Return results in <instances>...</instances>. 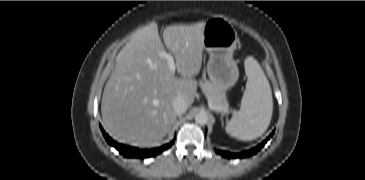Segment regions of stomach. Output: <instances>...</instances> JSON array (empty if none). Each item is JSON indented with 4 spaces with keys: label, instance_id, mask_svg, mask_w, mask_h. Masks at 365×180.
Returning a JSON list of instances; mask_svg holds the SVG:
<instances>
[{
    "label": "stomach",
    "instance_id": "0dacf381",
    "mask_svg": "<svg viewBox=\"0 0 365 180\" xmlns=\"http://www.w3.org/2000/svg\"><path fill=\"white\" fill-rule=\"evenodd\" d=\"M237 43V32L226 19L213 17L205 22L203 46L209 54L207 74L210 81L224 93L239 77L237 63L233 59Z\"/></svg>",
    "mask_w": 365,
    "mask_h": 180
}]
</instances>
